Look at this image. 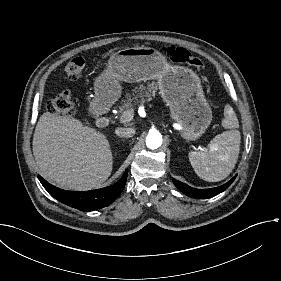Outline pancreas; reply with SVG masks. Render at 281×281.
Wrapping results in <instances>:
<instances>
[{
  "instance_id": "1",
  "label": "pancreas",
  "mask_w": 281,
  "mask_h": 281,
  "mask_svg": "<svg viewBox=\"0 0 281 281\" xmlns=\"http://www.w3.org/2000/svg\"><path fill=\"white\" fill-rule=\"evenodd\" d=\"M155 90V84L154 83H149L146 86L140 85L139 87H136L133 90V97L130 98L128 96V99L126 102L123 104V106L120 107L119 112L121 113V117H123L125 114H127V111L130 108H133L132 102L135 103H144V102H149L152 100V96L154 95L153 91Z\"/></svg>"
}]
</instances>
